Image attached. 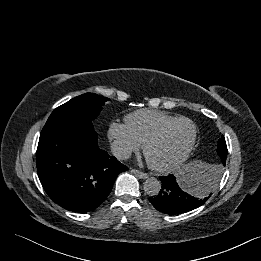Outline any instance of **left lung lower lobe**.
<instances>
[{
	"label": "left lung lower lobe",
	"instance_id": "1",
	"mask_svg": "<svg viewBox=\"0 0 261 261\" xmlns=\"http://www.w3.org/2000/svg\"><path fill=\"white\" fill-rule=\"evenodd\" d=\"M225 162L222 160L224 165ZM220 174L221 167L218 166L204 169L192 179L188 175L161 176L162 188L150 202L157 210L169 215L191 211L208 200Z\"/></svg>",
	"mask_w": 261,
	"mask_h": 261
}]
</instances>
